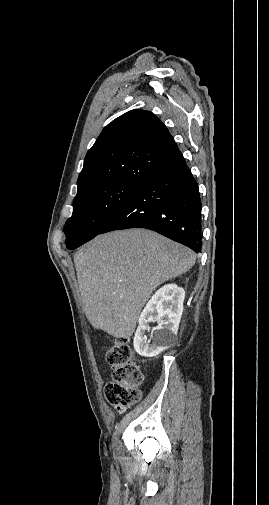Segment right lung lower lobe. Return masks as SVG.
Instances as JSON below:
<instances>
[{
	"label": "right lung lower lobe",
	"mask_w": 269,
	"mask_h": 505,
	"mask_svg": "<svg viewBox=\"0 0 269 505\" xmlns=\"http://www.w3.org/2000/svg\"><path fill=\"white\" fill-rule=\"evenodd\" d=\"M146 228L201 252V199L181 157L149 177L100 232Z\"/></svg>",
	"instance_id": "98d812e1"
}]
</instances>
